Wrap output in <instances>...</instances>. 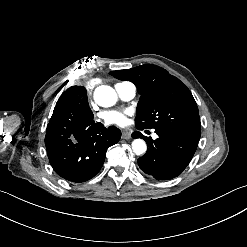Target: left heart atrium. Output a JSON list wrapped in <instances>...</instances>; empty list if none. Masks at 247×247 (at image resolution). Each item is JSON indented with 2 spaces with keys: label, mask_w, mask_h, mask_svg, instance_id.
<instances>
[{
  "label": "left heart atrium",
  "mask_w": 247,
  "mask_h": 247,
  "mask_svg": "<svg viewBox=\"0 0 247 247\" xmlns=\"http://www.w3.org/2000/svg\"><path fill=\"white\" fill-rule=\"evenodd\" d=\"M129 115L128 110H105L100 114V118L106 124L122 126L128 122Z\"/></svg>",
  "instance_id": "left-heart-atrium-1"
}]
</instances>
